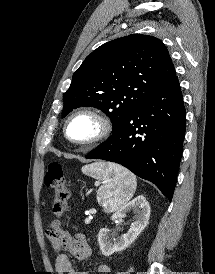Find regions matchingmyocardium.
<instances>
[{"label":"myocardium","instance_id":"obj_1","mask_svg":"<svg viewBox=\"0 0 215 274\" xmlns=\"http://www.w3.org/2000/svg\"><path fill=\"white\" fill-rule=\"evenodd\" d=\"M86 115L93 118L98 124L97 133L90 139L85 141H74L68 136V125L72 119L77 116ZM113 126L110 118L103 112L93 108H81L72 112L65 120L63 125V135L65 139L78 147H90L105 140L112 132Z\"/></svg>","mask_w":215,"mask_h":274}]
</instances>
